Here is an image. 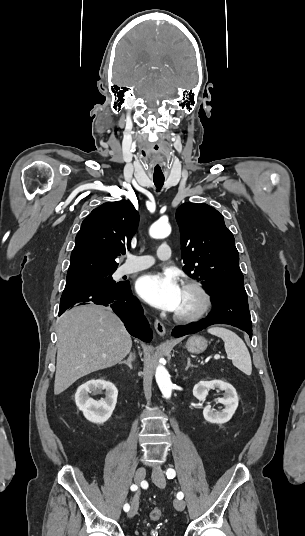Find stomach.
I'll list each match as a JSON object with an SVG mask.
<instances>
[{
  "label": "stomach",
  "instance_id": "1",
  "mask_svg": "<svg viewBox=\"0 0 305 536\" xmlns=\"http://www.w3.org/2000/svg\"><path fill=\"white\" fill-rule=\"evenodd\" d=\"M207 340L202 336H191L186 342V348L191 354H201L207 348Z\"/></svg>",
  "mask_w": 305,
  "mask_h": 536
}]
</instances>
